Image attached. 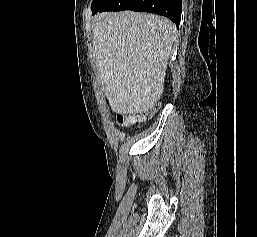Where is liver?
Instances as JSON below:
<instances>
[{"mask_svg":"<svg viewBox=\"0 0 257 237\" xmlns=\"http://www.w3.org/2000/svg\"><path fill=\"white\" fill-rule=\"evenodd\" d=\"M176 35L170 20L153 14L123 11L96 16L94 56L114 112L134 114L154 107L163 92Z\"/></svg>","mask_w":257,"mask_h":237,"instance_id":"liver-1","label":"liver"}]
</instances>
